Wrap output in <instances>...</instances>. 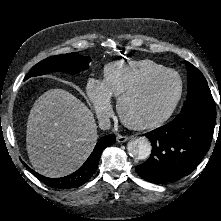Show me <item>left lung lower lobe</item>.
Returning <instances> with one entry per match:
<instances>
[{
    "label": "left lung lower lobe",
    "instance_id": "left-lung-lower-lobe-1",
    "mask_svg": "<svg viewBox=\"0 0 221 221\" xmlns=\"http://www.w3.org/2000/svg\"><path fill=\"white\" fill-rule=\"evenodd\" d=\"M215 119V103L196 102L169 124L149 132L152 152L136 166L138 175L158 184L189 175L210 148Z\"/></svg>",
    "mask_w": 221,
    "mask_h": 221
}]
</instances>
